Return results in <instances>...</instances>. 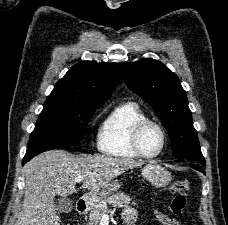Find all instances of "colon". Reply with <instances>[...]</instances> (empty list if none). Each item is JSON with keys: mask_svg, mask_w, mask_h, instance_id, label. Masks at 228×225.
Segmentation results:
<instances>
[{"mask_svg": "<svg viewBox=\"0 0 228 225\" xmlns=\"http://www.w3.org/2000/svg\"><path fill=\"white\" fill-rule=\"evenodd\" d=\"M170 191L172 194L170 214L173 217H180L184 212L189 194V182L185 179L175 180L171 185Z\"/></svg>", "mask_w": 228, "mask_h": 225, "instance_id": "1", "label": "colon"}]
</instances>
